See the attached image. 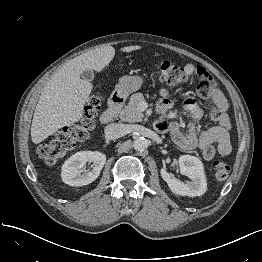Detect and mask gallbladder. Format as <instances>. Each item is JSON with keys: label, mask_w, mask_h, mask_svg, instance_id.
I'll list each match as a JSON object with an SVG mask.
<instances>
[{"label": "gallbladder", "mask_w": 262, "mask_h": 262, "mask_svg": "<svg viewBox=\"0 0 262 262\" xmlns=\"http://www.w3.org/2000/svg\"><path fill=\"white\" fill-rule=\"evenodd\" d=\"M84 80L92 81L94 79V72L92 70H85L81 73Z\"/></svg>", "instance_id": "obj_1"}]
</instances>
